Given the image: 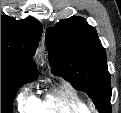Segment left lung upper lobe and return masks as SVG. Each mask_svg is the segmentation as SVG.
<instances>
[{
  "instance_id": "obj_1",
  "label": "left lung upper lobe",
  "mask_w": 121,
  "mask_h": 113,
  "mask_svg": "<svg viewBox=\"0 0 121 113\" xmlns=\"http://www.w3.org/2000/svg\"><path fill=\"white\" fill-rule=\"evenodd\" d=\"M46 43L52 72L86 92L101 113H110V74L96 30L82 17L63 19L47 29Z\"/></svg>"
}]
</instances>
